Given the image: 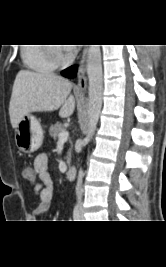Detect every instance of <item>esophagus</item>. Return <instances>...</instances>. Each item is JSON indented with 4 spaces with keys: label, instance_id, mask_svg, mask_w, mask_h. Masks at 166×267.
<instances>
[{
    "label": "esophagus",
    "instance_id": "34e87169",
    "mask_svg": "<svg viewBox=\"0 0 166 267\" xmlns=\"http://www.w3.org/2000/svg\"><path fill=\"white\" fill-rule=\"evenodd\" d=\"M86 57H87V48H85L83 50L82 57H81V60H80L81 69H80V72H79L78 83H77V86H76L77 89H80V90H84L87 87V77L85 75V70L83 68V65H84V63L86 61Z\"/></svg>",
    "mask_w": 166,
    "mask_h": 267
}]
</instances>
